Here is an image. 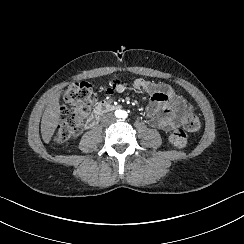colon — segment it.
<instances>
[{"instance_id": "1", "label": "colon", "mask_w": 244, "mask_h": 244, "mask_svg": "<svg viewBox=\"0 0 244 244\" xmlns=\"http://www.w3.org/2000/svg\"><path fill=\"white\" fill-rule=\"evenodd\" d=\"M62 100L61 121L54 134V142L57 144L73 139L79 132L82 120L89 114L94 103L93 87L87 81H75L64 91ZM198 128L199 119L190 106L183 125L170 133L171 143L182 149L187 148L190 144L189 136Z\"/></svg>"}]
</instances>
